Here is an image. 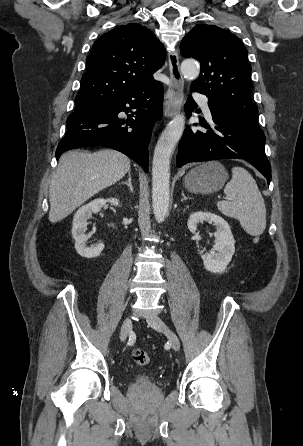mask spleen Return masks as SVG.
<instances>
[{
  "mask_svg": "<svg viewBox=\"0 0 303 446\" xmlns=\"http://www.w3.org/2000/svg\"><path fill=\"white\" fill-rule=\"evenodd\" d=\"M224 192L230 201L217 202L220 212L239 220L251 236H260L266 227V208L252 175L243 167H233L232 179Z\"/></svg>",
  "mask_w": 303,
  "mask_h": 446,
  "instance_id": "obj_1",
  "label": "spleen"
}]
</instances>
